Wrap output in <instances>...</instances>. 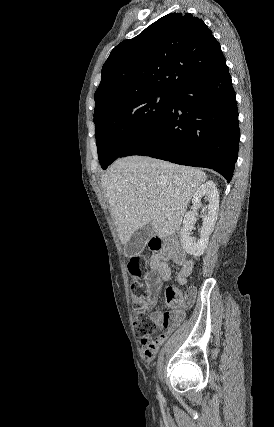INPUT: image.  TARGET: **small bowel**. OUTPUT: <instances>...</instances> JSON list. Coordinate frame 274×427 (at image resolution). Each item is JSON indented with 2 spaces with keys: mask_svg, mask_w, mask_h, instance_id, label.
Instances as JSON below:
<instances>
[{
  "mask_svg": "<svg viewBox=\"0 0 274 427\" xmlns=\"http://www.w3.org/2000/svg\"><path fill=\"white\" fill-rule=\"evenodd\" d=\"M170 261L179 266L177 280L180 284H185L193 272L194 260L187 257L185 249L179 242L159 246L150 259L151 270L144 274L145 301L149 307L155 306L163 283L171 278ZM167 305L173 307V300H167ZM150 318L160 327L161 332L153 337L144 336L141 338L142 352L147 359H152L156 355L174 328L177 315L171 311L162 313L159 310H152Z\"/></svg>",
  "mask_w": 274,
  "mask_h": 427,
  "instance_id": "1",
  "label": "small bowel"
}]
</instances>
